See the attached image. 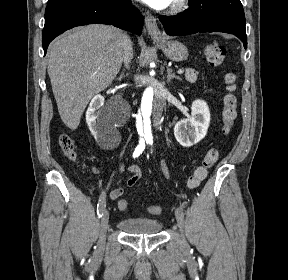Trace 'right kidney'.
Returning <instances> with one entry per match:
<instances>
[{
    "label": "right kidney",
    "instance_id": "right-kidney-1",
    "mask_svg": "<svg viewBox=\"0 0 288 280\" xmlns=\"http://www.w3.org/2000/svg\"><path fill=\"white\" fill-rule=\"evenodd\" d=\"M103 105V96L93 97L86 112V122L98 145L102 148H109L116 132L114 127H107L104 113L98 111Z\"/></svg>",
    "mask_w": 288,
    "mask_h": 280
}]
</instances>
